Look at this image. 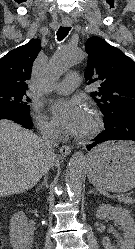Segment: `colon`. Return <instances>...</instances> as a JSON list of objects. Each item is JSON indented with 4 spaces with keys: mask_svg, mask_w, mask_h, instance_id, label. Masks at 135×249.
Wrapping results in <instances>:
<instances>
[{
    "mask_svg": "<svg viewBox=\"0 0 135 249\" xmlns=\"http://www.w3.org/2000/svg\"><path fill=\"white\" fill-rule=\"evenodd\" d=\"M0 249H2V242H1V240H0Z\"/></svg>",
    "mask_w": 135,
    "mask_h": 249,
    "instance_id": "1",
    "label": "colon"
}]
</instances>
